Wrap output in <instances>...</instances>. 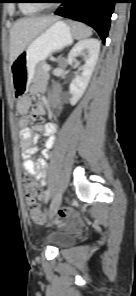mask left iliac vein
I'll return each instance as SVG.
<instances>
[{"label":"left iliac vein","instance_id":"obj_1","mask_svg":"<svg viewBox=\"0 0 136 296\" xmlns=\"http://www.w3.org/2000/svg\"><path fill=\"white\" fill-rule=\"evenodd\" d=\"M62 201V194L59 192L55 198L53 199L51 205H50V209H49V216L50 218H52L55 213L57 212L58 208L60 207Z\"/></svg>","mask_w":136,"mask_h":296}]
</instances>
